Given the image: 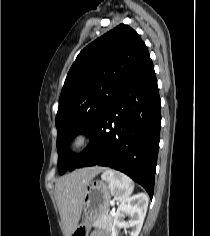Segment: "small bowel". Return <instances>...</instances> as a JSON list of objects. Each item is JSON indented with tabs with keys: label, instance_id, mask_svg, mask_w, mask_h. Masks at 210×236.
Instances as JSON below:
<instances>
[{
	"label": "small bowel",
	"instance_id": "1",
	"mask_svg": "<svg viewBox=\"0 0 210 236\" xmlns=\"http://www.w3.org/2000/svg\"><path fill=\"white\" fill-rule=\"evenodd\" d=\"M91 236H108V235L103 232H94Z\"/></svg>",
	"mask_w": 210,
	"mask_h": 236
}]
</instances>
